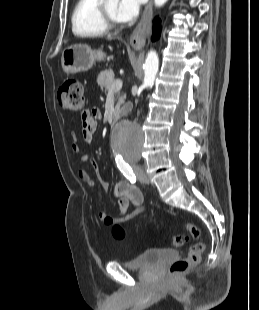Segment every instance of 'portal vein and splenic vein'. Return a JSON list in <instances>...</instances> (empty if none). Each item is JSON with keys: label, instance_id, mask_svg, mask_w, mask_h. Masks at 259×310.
Masks as SVG:
<instances>
[{"label": "portal vein and splenic vein", "instance_id": "1", "mask_svg": "<svg viewBox=\"0 0 259 310\" xmlns=\"http://www.w3.org/2000/svg\"><path fill=\"white\" fill-rule=\"evenodd\" d=\"M123 82L120 79L115 80L110 89L109 92H113V91H119L122 88Z\"/></svg>", "mask_w": 259, "mask_h": 310}]
</instances>
